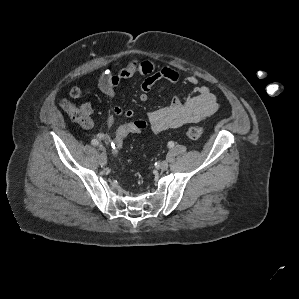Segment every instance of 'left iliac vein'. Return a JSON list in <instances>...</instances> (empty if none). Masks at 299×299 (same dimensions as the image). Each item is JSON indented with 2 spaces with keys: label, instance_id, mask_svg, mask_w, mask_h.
<instances>
[{
  "label": "left iliac vein",
  "instance_id": "1",
  "mask_svg": "<svg viewBox=\"0 0 299 299\" xmlns=\"http://www.w3.org/2000/svg\"><path fill=\"white\" fill-rule=\"evenodd\" d=\"M168 162L167 161H162L161 163H160V169L162 170V171H165V170H167L168 169Z\"/></svg>",
  "mask_w": 299,
  "mask_h": 299
}]
</instances>
